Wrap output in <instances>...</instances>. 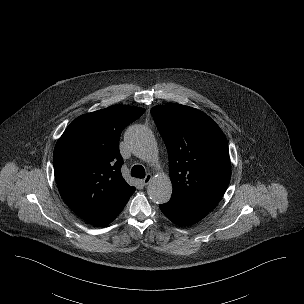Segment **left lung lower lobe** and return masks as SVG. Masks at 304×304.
<instances>
[{
    "mask_svg": "<svg viewBox=\"0 0 304 304\" xmlns=\"http://www.w3.org/2000/svg\"><path fill=\"white\" fill-rule=\"evenodd\" d=\"M161 211L173 223L188 226L203 219L210 211L194 207L180 199L171 197L170 201L159 205Z\"/></svg>",
    "mask_w": 304,
    "mask_h": 304,
    "instance_id": "obj_1",
    "label": "left lung lower lobe"
}]
</instances>
